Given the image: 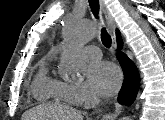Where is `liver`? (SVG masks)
<instances>
[{"mask_svg":"<svg viewBox=\"0 0 165 120\" xmlns=\"http://www.w3.org/2000/svg\"><path fill=\"white\" fill-rule=\"evenodd\" d=\"M49 115L60 118L59 120H83V117L79 111L69 106H58L52 108L48 106H39L30 109L23 115V120H42Z\"/></svg>","mask_w":165,"mask_h":120,"instance_id":"obj_1","label":"liver"}]
</instances>
